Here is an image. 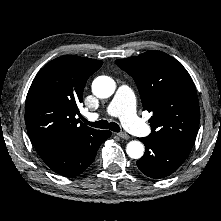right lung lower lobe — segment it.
I'll use <instances>...</instances> for the list:
<instances>
[{"instance_id": "obj_1", "label": "right lung lower lobe", "mask_w": 221, "mask_h": 221, "mask_svg": "<svg viewBox=\"0 0 221 221\" xmlns=\"http://www.w3.org/2000/svg\"><path fill=\"white\" fill-rule=\"evenodd\" d=\"M110 131H95L79 138H55L34 142L43 161L56 173L72 177L81 174L95 159Z\"/></svg>"}]
</instances>
